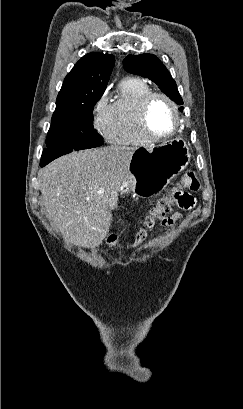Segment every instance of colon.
Masks as SVG:
<instances>
[{"label":"colon","mask_w":243,"mask_h":409,"mask_svg":"<svg viewBox=\"0 0 243 409\" xmlns=\"http://www.w3.org/2000/svg\"><path fill=\"white\" fill-rule=\"evenodd\" d=\"M199 181L194 172H187L180 179L179 187L172 190L167 195L159 198L157 202L150 208L145 217V226L147 229H153L158 221H164L166 216L176 207H187L191 204L189 194L184 190L197 191L199 189ZM146 230L138 231L133 240L128 244H122L118 241L115 235H110L107 238V246L112 250L130 249L138 246L146 238Z\"/></svg>","instance_id":"1"}]
</instances>
